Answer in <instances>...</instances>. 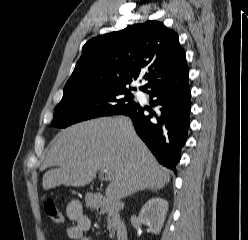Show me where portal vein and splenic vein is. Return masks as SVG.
I'll use <instances>...</instances> for the list:
<instances>
[{"label": "portal vein and splenic vein", "mask_w": 248, "mask_h": 240, "mask_svg": "<svg viewBox=\"0 0 248 240\" xmlns=\"http://www.w3.org/2000/svg\"><path fill=\"white\" fill-rule=\"evenodd\" d=\"M103 173H105V176H106L108 179L111 178V173H109L108 170L104 169V170H103Z\"/></svg>", "instance_id": "18ae733b"}]
</instances>
